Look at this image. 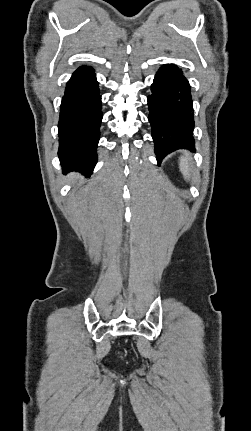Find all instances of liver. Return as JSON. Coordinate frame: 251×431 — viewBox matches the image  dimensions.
Instances as JSON below:
<instances>
[{
    "instance_id": "liver-1",
    "label": "liver",
    "mask_w": 251,
    "mask_h": 431,
    "mask_svg": "<svg viewBox=\"0 0 251 431\" xmlns=\"http://www.w3.org/2000/svg\"><path fill=\"white\" fill-rule=\"evenodd\" d=\"M78 179H79V175H77V174H72V175L70 176V178H69V180H70L72 183H76Z\"/></svg>"
}]
</instances>
